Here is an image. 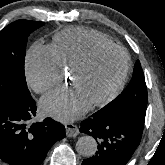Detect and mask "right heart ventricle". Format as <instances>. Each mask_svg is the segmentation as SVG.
Here are the masks:
<instances>
[{"instance_id": "right-heart-ventricle-1", "label": "right heart ventricle", "mask_w": 165, "mask_h": 165, "mask_svg": "<svg viewBox=\"0 0 165 165\" xmlns=\"http://www.w3.org/2000/svg\"><path fill=\"white\" fill-rule=\"evenodd\" d=\"M113 43L103 34L82 27L66 29L53 38V49L61 67L71 68L96 45Z\"/></svg>"}]
</instances>
